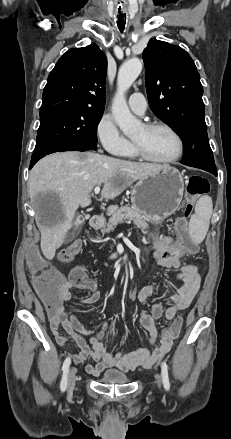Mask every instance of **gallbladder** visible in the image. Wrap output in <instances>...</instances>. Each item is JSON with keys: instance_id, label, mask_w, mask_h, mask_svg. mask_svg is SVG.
Wrapping results in <instances>:
<instances>
[{"instance_id": "bac80fb5", "label": "gallbladder", "mask_w": 231, "mask_h": 439, "mask_svg": "<svg viewBox=\"0 0 231 439\" xmlns=\"http://www.w3.org/2000/svg\"><path fill=\"white\" fill-rule=\"evenodd\" d=\"M84 221V217L82 215H78L76 218V221L74 222L75 225V230L79 227V225ZM72 238H74V233H72L69 237V240H71Z\"/></svg>"}]
</instances>
